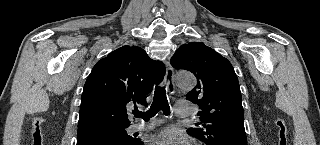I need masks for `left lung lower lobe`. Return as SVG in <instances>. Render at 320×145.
<instances>
[{
    "instance_id": "left-lung-lower-lobe-1",
    "label": "left lung lower lobe",
    "mask_w": 320,
    "mask_h": 145,
    "mask_svg": "<svg viewBox=\"0 0 320 145\" xmlns=\"http://www.w3.org/2000/svg\"><path fill=\"white\" fill-rule=\"evenodd\" d=\"M224 145H247V144L238 142L236 140H231V141H227Z\"/></svg>"
}]
</instances>
